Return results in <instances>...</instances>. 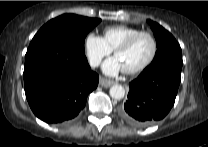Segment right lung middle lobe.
<instances>
[{"instance_id":"dd1d6c3e","label":"right lung middle lobe","mask_w":208,"mask_h":147,"mask_svg":"<svg viewBox=\"0 0 208 147\" xmlns=\"http://www.w3.org/2000/svg\"><path fill=\"white\" fill-rule=\"evenodd\" d=\"M101 19L88 18L75 14H63L47 22L32 39L29 49L64 42L84 52V41L88 32L99 24Z\"/></svg>"}]
</instances>
